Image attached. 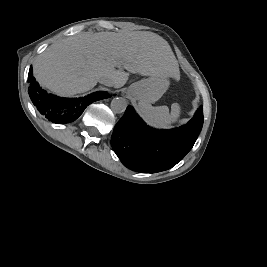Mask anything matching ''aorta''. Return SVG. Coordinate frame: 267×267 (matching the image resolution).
<instances>
[{
	"label": "aorta",
	"instance_id": "1",
	"mask_svg": "<svg viewBox=\"0 0 267 267\" xmlns=\"http://www.w3.org/2000/svg\"><path fill=\"white\" fill-rule=\"evenodd\" d=\"M127 100L123 97H116L113 98L110 104L111 110L114 113H122L126 110L127 108Z\"/></svg>",
	"mask_w": 267,
	"mask_h": 267
}]
</instances>
